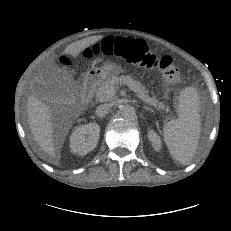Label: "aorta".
Here are the masks:
<instances>
[{"label":"aorta","instance_id":"obj_1","mask_svg":"<svg viewBox=\"0 0 231 231\" xmlns=\"http://www.w3.org/2000/svg\"><path fill=\"white\" fill-rule=\"evenodd\" d=\"M121 114L126 119H132L136 115V112L134 107L130 105H125L121 109Z\"/></svg>","mask_w":231,"mask_h":231}]
</instances>
